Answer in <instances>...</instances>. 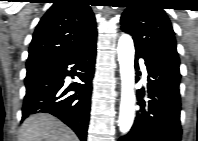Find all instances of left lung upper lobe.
<instances>
[{
	"instance_id": "5c2ea615",
	"label": "left lung upper lobe",
	"mask_w": 198,
	"mask_h": 141,
	"mask_svg": "<svg viewBox=\"0 0 198 141\" xmlns=\"http://www.w3.org/2000/svg\"><path fill=\"white\" fill-rule=\"evenodd\" d=\"M122 30L132 36L136 52L148 59L180 64L172 24L156 0H133L121 17Z\"/></svg>"
}]
</instances>
